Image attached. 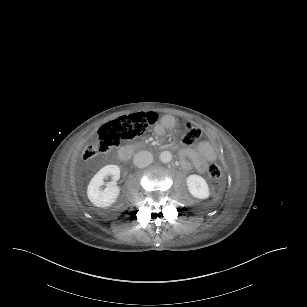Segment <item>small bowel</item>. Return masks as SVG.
<instances>
[{
	"label": "small bowel",
	"mask_w": 307,
	"mask_h": 307,
	"mask_svg": "<svg viewBox=\"0 0 307 307\" xmlns=\"http://www.w3.org/2000/svg\"><path fill=\"white\" fill-rule=\"evenodd\" d=\"M168 127L174 129L175 125L170 121ZM181 156L184 158L182 160V166L185 169L189 170L194 167L199 172H205L208 168V164L217 160L218 153L210 142L202 141L194 148L181 150Z\"/></svg>",
	"instance_id": "obj_1"
}]
</instances>
